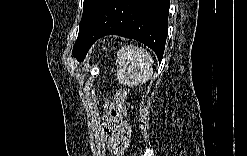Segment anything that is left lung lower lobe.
Returning a JSON list of instances; mask_svg holds the SVG:
<instances>
[{"label": "left lung lower lobe", "mask_w": 247, "mask_h": 156, "mask_svg": "<svg viewBox=\"0 0 247 156\" xmlns=\"http://www.w3.org/2000/svg\"><path fill=\"white\" fill-rule=\"evenodd\" d=\"M169 0H106L85 35L82 60L92 44L106 35L138 40L162 60L168 33Z\"/></svg>", "instance_id": "0a47b994"}]
</instances>
